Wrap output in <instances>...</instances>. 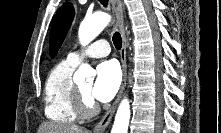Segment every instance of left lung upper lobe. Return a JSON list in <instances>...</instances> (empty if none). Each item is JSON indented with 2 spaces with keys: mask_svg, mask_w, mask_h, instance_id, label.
Segmentation results:
<instances>
[{
  "mask_svg": "<svg viewBox=\"0 0 221 133\" xmlns=\"http://www.w3.org/2000/svg\"><path fill=\"white\" fill-rule=\"evenodd\" d=\"M74 17V8L71 3H65L57 11L51 28L49 51L53 58L65 38Z\"/></svg>",
  "mask_w": 221,
  "mask_h": 133,
  "instance_id": "obj_1",
  "label": "left lung upper lobe"
}]
</instances>
